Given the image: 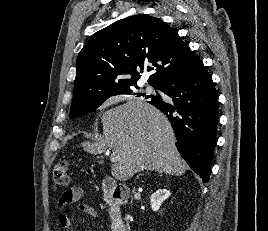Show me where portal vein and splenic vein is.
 Here are the masks:
<instances>
[{
	"mask_svg": "<svg viewBox=\"0 0 268 231\" xmlns=\"http://www.w3.org/2000/svg\"><path fill=\"white\" fill-rule=\"evenodd\" d=\"M112 155H111V162H117L119 160V157L115 156V154Z\"/></svg>",
	"mask_w": 268,
	"mask_h": 231,
	"instance_id": "18ae733b",
	"label": "portal vein and splenic vein"
}]
</instances>
